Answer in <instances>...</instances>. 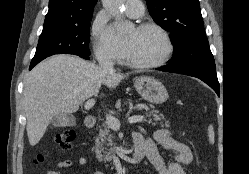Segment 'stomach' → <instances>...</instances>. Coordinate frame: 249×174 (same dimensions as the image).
<instances>
[{
    "instance_id": "1",
    "label": "stomach",
    "mask_w": 249,
    "mask_h": 174,
    "mask_svg": "<svg viewBox=\"0 0 249 174\" xmlns=\"http://www.w3.org/2000/svg\"><path fill=\"white\" fill-rule=\"evenodd\" d=\"M135 88L150 103L161 104L168 99V92L164 85L153 77L143 76L137 78Z\"/></svg>"
}]
</instances>
